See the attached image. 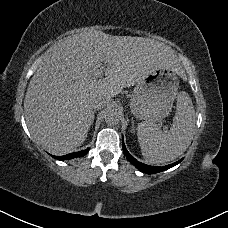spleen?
Here are the masks:
<instances>
[{"instance_id":"1","label":"spleen","mask_w":228,"mask_h":228,"mask_svg":"<svg viewBox=\"0 0 228 228\" xmlns=\"http://www.w3.org/2000/svg\"><path fill=\"white\" fill-rule=\"evenodd\" d=\"M195 129V110L188 93L177 96L176 113L169 131L163 132L155 123L138 124L137 135L142 155L149 164H164L183 154L190 145Z\"/></svg>"}]
</instances>
